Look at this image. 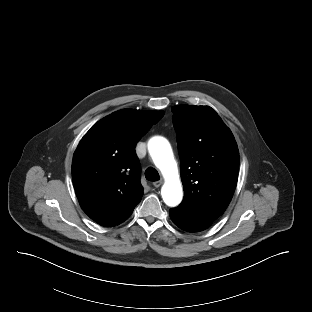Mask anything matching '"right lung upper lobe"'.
Returning a JSON list of instances; mask_svg holds the SVG:
<instances>
[{
	"mask_svg": "<svg viewBox=\"0 0 312 312\" xmlns=\"http://www.w3.org/2000/svg\"><path fill=\"white\" fill-rule=\"evenodd\" d=\"M163 111L123 109L98 121L81 139L72 180L81 208L98 224L124 222L143 195L136 143Z\"/></svg>",
	"mask_w": 312,
	"mask_h": 312,
	"instance_id": "1",
	"label": "right lung upper lobe"
}]
</instances>
